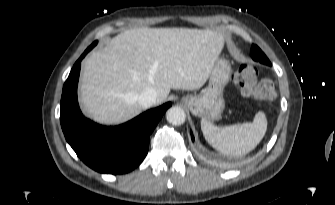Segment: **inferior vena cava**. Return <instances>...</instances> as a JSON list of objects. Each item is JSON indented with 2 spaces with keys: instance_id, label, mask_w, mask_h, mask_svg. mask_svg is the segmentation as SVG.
I'll return each instance as SVG.
<instances>
[{
  "instance_id": "1",
  "label": "inferior vena cava",
  "mask_w": 335,
  "mask_h": 205,
  "mask_svg": "<svg viewBox=\"0 0 335 205\" xmlns=\"http://www.w3.org/2000/svg\"><path fill=\"white\" fill-rule=\"evenodd\" d=\"M156 99H157L156 90L153 88H148L138 96V103L143 108H148L152 106L153 104H155Z\"/></svg>"
}]
</instances>
